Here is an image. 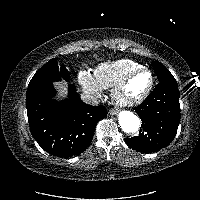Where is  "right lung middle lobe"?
Wrapping results in <instances>:
<instances>
[{
	"mask_svg": "<svg viewBox=\"0 0 200 200\" xmlns=\"http://www.w3.org/2000/svg\"><path fill=\"white\" fill-rule=\"evenodd\" d=\"M61 79L68 82L70 74L64 66H59L57 60L53 58L35 73L28 87L37 84L60 81Z\"/></svg>",
	"mask_w": 200,
	"mask_h": 200,
	"instance_id": "dd1d6c3e",
	"label": "right lung middle lobe"
}]
</instances>
